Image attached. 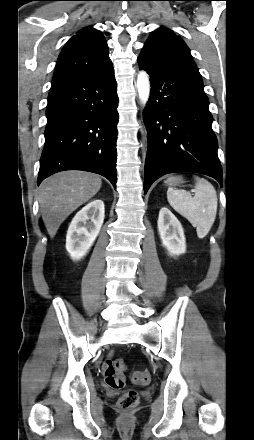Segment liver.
<instances>
[{"label": "liver", "instance_id": "liver-1", "mask_svg": "<svg viewBox=\"0 0 254 440\" xmlns=\"http://www.w3.org/2000/svg\"><path fill=\"white\" fill-rule=\"evenodd\" d=\"M98 175L63 171L45 179L39 187V204L48 234L53 238L63 221L100 190Z\"/></svg>", "mask_w": 254, "mask_h": 440}]
</instances>
